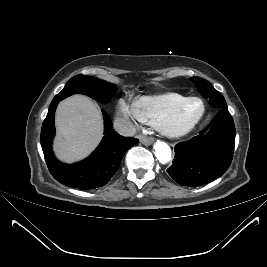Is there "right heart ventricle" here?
Returning <instances> with one entry per match:
<instances>
[{
    "mask_svg": "<svg viewBox=\"0 0 267 267\" xmlns=\"http://www.w3.org/2000/svg\"><path fill=\"white\" fill-rule=\"evenodd\" d=\"M187 97L179 93L143 96L135 101V107L143 122L156 123Z\"/></svg>",
    "mask_w": 267,
    "mask_h": 267,
    "instance_id": "right-heart-ventricle-1",
    "label": "right heart ventricle"
}]
</instances>
